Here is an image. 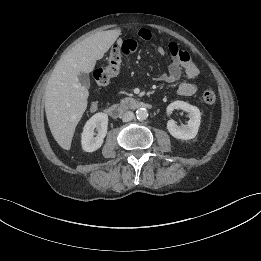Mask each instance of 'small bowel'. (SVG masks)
<instances>
[{
  "label": "small bowel",
  "instance_id": "c3829d8e",
  "mask_svg": "<svg viewBox=\"0 0 261 261\" xmlns=\"http://www.w3.org/2000/svg\"><path fill=\"white\" fill-rule=\"evenodd\" d=\"M138 37L143 41H151L156 37L154 31L148 28H142L138 31ZM118 46L122 49L125 55H131L135 52L137 43L134 39H119ZM157 53L161 56H170V65L167 73L160 75L157 79L166 83H178L177 93L181 96H192L197 91L195 80L199 76V69L192 61L189 53L180 49L176 43L170 42L167 46L157 47ZM182 74L187 77L186 81H180ZM98 109V103L91 104V111Z\"/></svg>",
  "mask_w": 261,
  "mask_h": 261
}]
</instances>
